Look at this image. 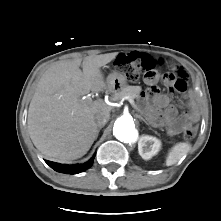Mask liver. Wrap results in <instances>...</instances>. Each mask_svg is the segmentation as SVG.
<instances>
[{"instance_id": "liver-1", "label": "liver", "mask_w": 221, "mask_h": 221, "mask_svg": "<svg viewBox=\"0 0 221 221\" xmlns=\"http://www.w3.org/2000/svg\"><path fill=\"white\" fill-rule=\"evenodd\" d=\"M118 53L58 61L42 74L28 109V131L35 147L49 159L69 162L84 156L92 146L98 126L95 116L110 113L102 100H82L106 88L101 67Z\"/></svg>"}]
</instances>
